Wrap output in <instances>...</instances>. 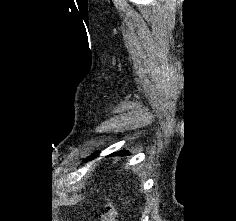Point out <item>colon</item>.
<instances>
[{
	"mask_svg": "<svg viewBox=\"0 0 236 221\" xmlns=\"http://www.w3.org/2000/svg\"><path fill=\"white\" fill-rule=\"evenodd\" d=\"M101 221H119L118 211L113 202L107 201Z\"/></svg>",
	"mask_w": 236,
	"mask_h": 221,
	"instance_id": "obj_1",
	"label": "colon"
}]
</instances>
